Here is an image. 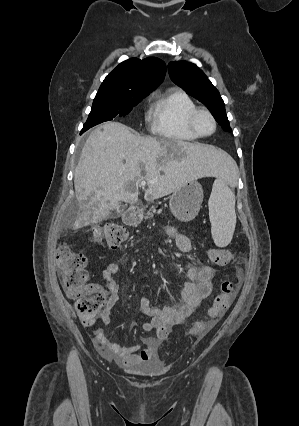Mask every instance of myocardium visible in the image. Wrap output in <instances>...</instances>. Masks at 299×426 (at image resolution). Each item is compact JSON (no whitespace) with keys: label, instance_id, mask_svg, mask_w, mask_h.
Wrapping results in <instances>:
<instances>
[{"label":"myocardium","instance_id":"obj_1","mask_svg":"<svg viewBox=\"0 0 299 426\" xmlns=\"http://www.w3.org/2000/svg\"><path fill=\"white\" fill-rule=\"evenodd\" d=\"M200 115H207L211 119V121L213 123V130H212L211 133H209V134H203L199 130V128L197 126V120H198V118H199ZM188 127L191 130V132L193 134H195L197 137L206 138V137L212 136L216 132V130H217V120H216L215 116L213 115V113L209 109H207L205 107H196L190 113V115L188 117Z\"/></svg>","mask_w":299,"mask_h":426}]
</instances>
